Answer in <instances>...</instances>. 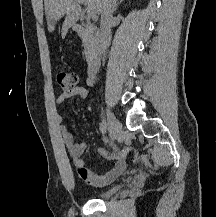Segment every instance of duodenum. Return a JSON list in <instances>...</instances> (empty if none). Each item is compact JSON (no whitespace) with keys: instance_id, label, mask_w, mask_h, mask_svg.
<instances>
[{"instance_id":"duodenum-1","label":"duodenum","mask_w":216,"mask_h":217,"mask_svg":"<svg viewBox=\"0 0 216 217\" xmlns=\"http://www.w3.org/2000/svg\"><path fill=\"white\" fill-rule=\"evenodd\" d=\"M74 29L79 34L84 33V27L80 24H75ZM104 57V46L102 44L94 45L93 50L88 54L89 75H95L97 73L104 60Z\"/></svg>"}]
</instances>
